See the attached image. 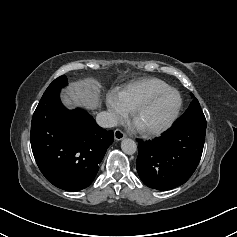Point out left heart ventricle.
Segmentation results:
<instances>
[{"label": "left heart ventricle", "instance_id": "1", "mask_svg": "<svg viewBox=\"0 0 237 237\" xmlns=\"http://www.w3.org/2000/svg\"><path fill=\"white\" fill-rule=\"evenodd\" d=\"M177 103L178 98L174 93L160 97L139 115L138 123L146 127L161 125L171 115Z\"/></svg>", "mask_w": 237, "mask_h": 237}]
</instances>
